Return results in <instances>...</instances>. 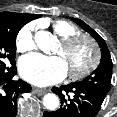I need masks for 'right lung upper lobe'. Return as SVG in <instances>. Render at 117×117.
<instances>
[{
  "label": "right lung upper lobe",
  "instance_id": "obj_1",
  "mask_svg": "<svg viewBox=\"0 0 117 117\" xmlns=\"http://www.w3.org/2000/svg\"><path fill=\"white\" fill-rule=\"evenodd\" d=\"M11 13H13V12H2V13H0V18H1V17H4V16H7V15H9V14H11ZM17 14H20V15H22L23 17H25V18L27 19L28 22H30L31 20H34V19H36V18L41 17L40 14H24V13H17Z\"/></svg>",
  "mask_w": 117,
  "mask_h": 117
}]
</instances>
